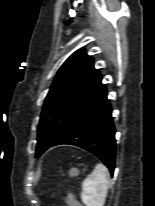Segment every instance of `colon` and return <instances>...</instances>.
Returning a JSON list of instances; mask_svg holds the SVG:
<instances>
[{
  "mask_svg": "<svg viewBox=\"0 0 155 206\" xmlns=\"http://www.w3.org/2000/svg\"><path fill=\"white\" fill-rule=\"evenodd\" d=\"M69 203H70V206H82L81 204L77 202V200L74 198L73 195L69 196Z\"/></svg>",
  "mask_w": 155,
  "mask_h": 206,
  "instance_id": "5ec220e1",
  "label": "colon"
}]
</instances>
